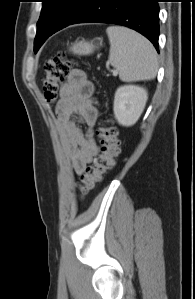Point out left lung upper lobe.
<instances>
[{
	"instance_id": "obj_1",
	"label": "left lung upper lobe",
	"mask_w": 195,
	"mask_h": 299,
	"mask_svg": "<svg viewBox=\"0 0 195 299\" xmlns=\"http://www.w3.org/2000/svg\"><path fill=\"white\" fill-rule=\"evenodd\" d=\"M42 2L43 7L34 42L35 52L49 36L73 24L86 8L89 0H42Z\"/></svg>"
}]
</instances>
